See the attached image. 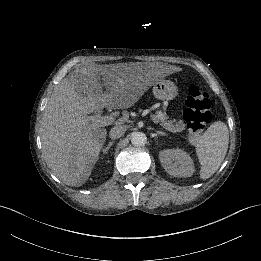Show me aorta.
Returning a JSON list of instances; mask_svg holds the SVG:
<instances>
[{"mask_svg":"<svg viewBox=\"0 0 261 261\" xmlns=\"http://www.w3.org/2000/svg\"><path fill=\"white\" fill-rule=\"evenodd\" d=\"M131 143L136 147H143L147 144V137L142 132H135L132 134Z\"/></svg>","mask_w":261,"mask_h":261,"instance_id":"obj_1","label":"aorta"}]
</instances>
